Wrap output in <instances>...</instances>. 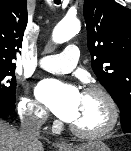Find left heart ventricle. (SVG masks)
I'll return each mask as SVG.
<instances>
[{
  "label": "left heart ventricle",
  "instance_id": "obj_1",
  "mask_svg": "<svg viewBox=\"0 0 131 151\" xmlns=\"http://www.w3.org/2000/svg\"><path fill=\"white\" fill-rule=\"evenodd\" d=\"M108 119V108L101 97L82 94L78 114L71 123L83 130H97L104 127Z\"/></svg>",
  "mask_w": 131,
  "mask_h": 151
}]
</instances>
